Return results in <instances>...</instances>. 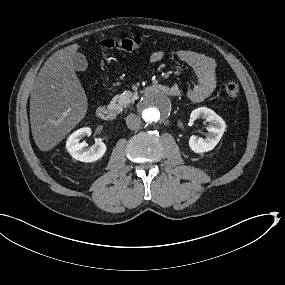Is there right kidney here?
Masks as SVG:
<instances>
[{"mask_svg": "<svg viewBox=\"0 0 285 285\" xmlns=\"http://www.w3.org/2000/svg\"><path fill=\"white\" fill-rule=\"evenodd\" d=\"M91 128L83 127L73 132L66 142L67 151L70 155L82 162H93L100 159L106 152V145L102 141L95 142L91 147H87L86 142L80 143L84 136L91 135Z\"/></svg>", "mask_w": 285, "mask_h": 285, "instance_id": "right-kidney-1", "label": "right kidney"}]
</instances>
